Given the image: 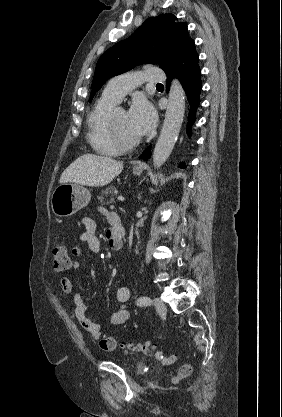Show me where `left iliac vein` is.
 Listing matches in <instances>:
<instances>
[{
  "label": "left iliac vein",
  "instance_id": "left-iliac-vein-1",
  "mask_svg": "<svg viewBox=\"0 0 282 417\" xmlns=\"http://www.w3.org/2000/svg\"><path fill=\"white\" fill-rule=\"evenodd\" d=\"M153 304H154L156 310L159 313H165L166 312V306H165V304L163 303V301L160 298L156 297L153 300Z\"/></svg>",
  "mask_w": 282,
  "mask_h": 417
}]
</instances>
